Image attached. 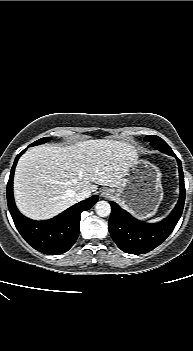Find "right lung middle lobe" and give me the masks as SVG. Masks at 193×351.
<instances>
[{
	"label": "right lung middle lobe",
	"instance_id": "dd1d6c3e",
	"mask_svg": "<svg viewBox=\"0 0 193 351\" xmlns=\"http://www.w3.org/2000/svg\"><path fill=\"white\" fill-rule=\"evenodd\" d=\"M50 139H51L50 137L41 138V139L35 141L34 143H32L30 146H35V145H38V144H43V143L49 141Z\"/></svg>",
	"mask_w": 193,
	"mask_h": 351
}]
</instances>
